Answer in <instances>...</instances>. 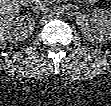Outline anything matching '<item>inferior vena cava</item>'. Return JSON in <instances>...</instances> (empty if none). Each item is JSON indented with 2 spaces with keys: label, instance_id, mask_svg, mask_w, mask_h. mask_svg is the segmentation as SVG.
<instances>
[{
  "label": "inferior vena cava",
  "instance_id": "602c4592",
  "mask_svg": "<svg viewBox=\"0 0 111 106\" xmlns=\"http://www.w3.org/2000/svg\"><path fill=\"white\" fill-rule=\"evenodd\" d=\"M46 5H47V1L36 0L34 2V5L32 6V9L36 13L47 12L48 8L46 7Z\"/></svg>",
  "mask_w": 111,
  "mask_h": 106
}]
</instances>
